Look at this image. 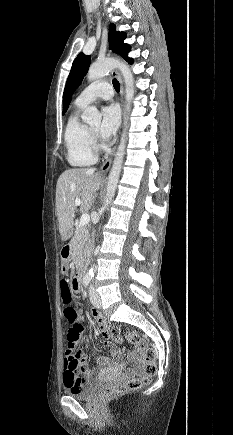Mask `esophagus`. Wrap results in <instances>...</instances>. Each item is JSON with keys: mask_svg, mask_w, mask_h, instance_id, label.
I'll return each instance as SVG.
<instances>
[{"mask_svg": "<svg viewBox=\"0 0 233 435\" xmlns=\"http://www.w3.org/2000/svg\"><path fill=\"white\" fill-rule=\"evenodd\" d=\"M112 74H113L114 76H116L117 79H118L119 82H120V85H121V89H120L121 104H122V107H123V97H124V86H123V80H122L121 74H120L117 70H114V71L112 72ZM116 148H117L116 146L113 148V150L111 151L110 155L106 158L105 162L102 164V166H101V168H100V172H101V173H106V172L109 170V168H110V166H111V164H112L113 157H114V155H115Z\"/></svg>", "mask_w": 233, "mask_h": 435, "instance_id": "34e87169", "label": "esophagus"}]
</instances>
